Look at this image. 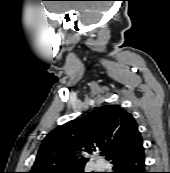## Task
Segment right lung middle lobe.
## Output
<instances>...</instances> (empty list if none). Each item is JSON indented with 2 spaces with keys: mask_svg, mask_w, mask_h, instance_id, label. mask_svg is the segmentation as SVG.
<instances>
[{
  "mask_svg": "<svg viewBox=\"0 0 170 173\" xmlns=\"http://www.w3.org/2000/svg\"><path fill=\"white\" fill-rule=\"evenodd\" d=\"M72 173H84L83 169L79 171H73Z\"/></svg>",
  "mask_w": 170,
  "mask_h": 173,
  "instance_id": "dd1d6c3e",
  "label": "right lung middle lobe"
}]
</instances>
